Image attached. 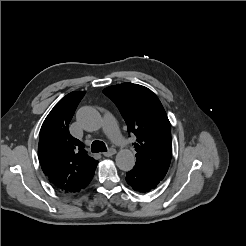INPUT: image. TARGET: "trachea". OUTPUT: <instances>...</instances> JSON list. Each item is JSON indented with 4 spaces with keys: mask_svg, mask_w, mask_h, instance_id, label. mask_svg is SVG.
<instances>
[{
    "mask_svg": "<svg viewBox=\"0 0 246 246\" xmlns=\"http://www.w3.org/2000/svg\"><path fill=\"white\" fill-rule=\"evenodd\" d=\"M91 151L92 153L106 152L107 148L104 142L94 141L91 145Z\"/></svg>",
    "mask_w": 246,
    "mask_h": 246,
    "instance_id": "3493384b",
    "label": "trachea"
}]
</instances>
